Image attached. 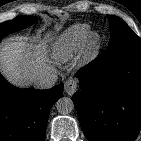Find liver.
<instances>
[{
  "mask_svg": "<svg viewBox=\"0 0 141 141\" xmlns=\"http://www.w3.org/2000/svg\"><path fill=\"white\" fill-rule=\"evenodd\" d=\"M45 47L42 40L26 37L6 40L0 48V70L4 77L11 84L24 88L44 74L54 73Z\"/></svg>",
  "mask_w": 141,
  "mask_h": 141,
  "instance_id": "1",
  "label": "liver"
}]
</instances>
